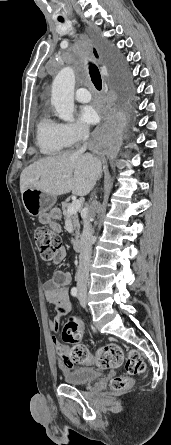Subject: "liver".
Segmentation results:
<instances>
[{
	"mask_svg": "<svg viewBox=\"0 0 171 445\" xmlns=\"http://www.w3.org/2000/svg\"><path fill=\"white\" fill-rule=\"evenodd\" d=\"M101 172V162L84 152L67 151L31 164L20 176V191L35 188L58 196L72 192L87 195Z\"/></svg>",
	"mask_w": 171,
	"mask_h": 445,
	"instance_id": "obj_1",
	"label": "liver"
}]
</instances>
